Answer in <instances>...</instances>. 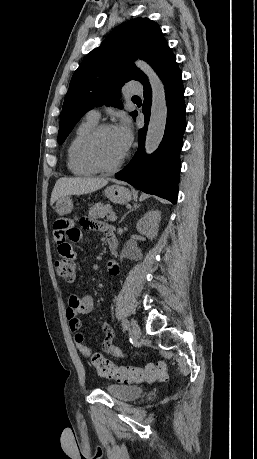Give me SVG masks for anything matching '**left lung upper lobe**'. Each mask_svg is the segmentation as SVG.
I'll return each instance as SVG.
<instances>
[{"label": "left lung upper lobe", "mask_w": 257, "mask_h": 459, "mask_svg": "<svg viewBox=\"0 0 257 459\" xmlns=\"http://www.w3.org/2000/svg\"><path fill=\"white\" fill-rule=\"evenodd\" d=\"M171 52L160 27L148 18H135L116 27L73 74L62 108L58 143H63L92 108L104 104L122 108L119 98L125 82L148 81L135 67V59L147 61L156 71Z\"/></svg>", "instance_id": "left-lung-upper-lobe-1"}]
</instances>
